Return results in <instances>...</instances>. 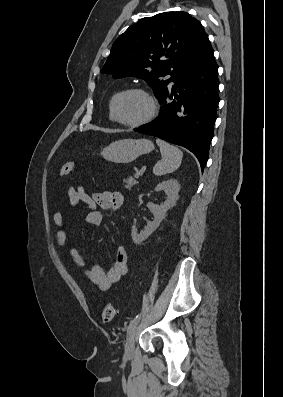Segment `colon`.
I'll use <instances>...</instances> for the list:
<instances>
[{
    "label": "colon",
    "instance_id": "1",
    "mask_svg": "<svg viewBox=\"0 0 283 397\" xmlns=\"http://www.w3.org/2000/svg\"><path fill=\"white\" fill-rule=\"evenodd\" d=\"M76 164L74 162L64 163L59 170L60 176H66L74 172ZM116 309L112 304H107L102 311V320L104 323H110L114 320Z\"/></svg>",
    "mask_w": 283,
    "mask_h": 397
}]
</instances>
